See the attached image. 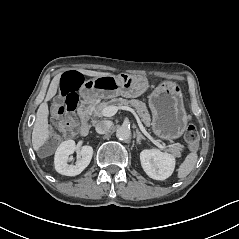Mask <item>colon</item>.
<instances>
[{
	"label": "colon",
	"mask_w": 239,
	"mask_h": 239,
	"mask_svg": "<svg viewBox=\"0 0 239 239\" xmlns=\"http://www.w3.org/2000/svg\"><path fill=\"white\" fill-rule=\"evenodd\" d=\"M82 83V76L76 72H68L60 80L59 90L62 102L54 106V123L52 126V133L56 139L71 137L77 132V90ZM184 138L189 149L192 151L196 150L199 135L194 125L189 124L186 127Z\"/></svg>",
	"instance_id": "obj_1"
}]
</instances>
